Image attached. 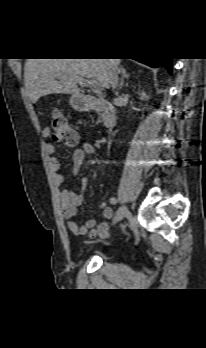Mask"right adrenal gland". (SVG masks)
Here are the masks:
<instances>
[{
  "instance_id": "right-adrenal-gland-1",
  "label": "right adrenal gland",
  "mask_w": 206,
  "mask_h": 348,
  "mask_svg": "<svg viewBox=\"0 0 206 348\" xmlns=\"http://www.w3.org/2000/svg\"><path fill=\"white\" fill-rule=\"evenodd\" d=\"M121 73H122V77H121L119 89H122V87L124 86V79H128L130 76V74L126 72V69L124 67H121Z\"/></svg>"
}]
</instances>
